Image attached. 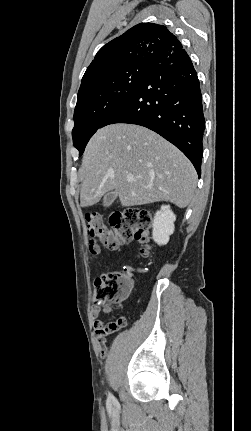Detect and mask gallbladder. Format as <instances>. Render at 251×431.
Returning <instances> with one entry per match:
<instances>
[{
  "label": "gallbladder",
  "instance_id": "obj_1",
  "mask_svg": "<svg viewBox=\"0 0 251 431\" xmlns=\"http://www.w3.org/2000/svg\"><path fill=\"white\" fill-rule=\"evenodd\" d=\"M117 195L114 193H110L108 195H106L103 199V206L104 207H109L112 205V203L116 200Z\"/></svg>",
  "mask_w": 251,
  "mask_h": 431
}]
</instances>
